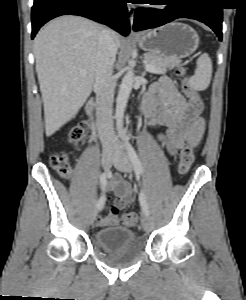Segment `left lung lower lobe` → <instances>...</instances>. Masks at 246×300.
Masks as SVG:
<instances>
[{
	"mask_svg": "<svg viewBox=\"0 0 246 300\" xmlns=\"http://www.w3.org/2000/svg\"><path fill=\"white\" fill-rule=\"evenodd\" d=\"M163 10L138 8L135 12L133 30L155 28L177 18H191L208 25L222 40V7L218 0H168Z\"/></svg>",
	"mask_w": 246,
	"mask_h": 300,
	"instance_id": "obj_1",
	"label": "left lung lower lobe"
}]
</instances>
